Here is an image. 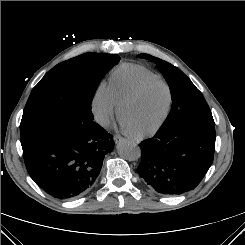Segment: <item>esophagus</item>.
I'll return each mask as SVG.
<instances>
[{
	"label": "esophagus",
	"mask_w": 245,
	"mask_h": 245,
	"mask_svg": "<svg viewBox=\"0 0 245 245\" xmlns=\"http://www.w3.org/2000/svg\"><path fill=\"white\" fill-rule=\"evenodd\" d=\"M122 140H124V138L122 136H120V135H115L114 136L115 143H119Z\"/></svg>",
	"instance_id": "1"
}]
</instances>
